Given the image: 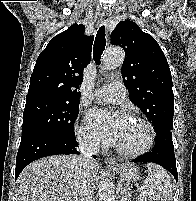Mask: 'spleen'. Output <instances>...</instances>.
Masks as SVG:
<instances>
[{
  "mask_svg": "<svg viewBox=\"0 0 196 201\" xmlns=\"http://www.w3.org/2000/svg\"><path fill=\"white\" fill-rule=\"evenodd\" d=\"M147 168L148 177L141 186L139 201H173V186L166 170L153 163Z\"/></svg>",
  "mask_w": 196,
  "mask_h": 201,
  "instance_id": "3e777b00",
  "label": "spleen"
}]
</instances>
